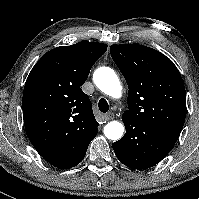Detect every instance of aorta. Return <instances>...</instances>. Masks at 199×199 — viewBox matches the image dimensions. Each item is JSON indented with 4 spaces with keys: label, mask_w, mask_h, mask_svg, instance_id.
<instances>
[{
    "label": "aorta",
    "mask_w": 199,
    "mask_h": 199,
    "mask_svg": "<svg viewBox=\"0 0 199 199\" xmlns=\"http://www.w3.org/2000/svg\"><path fill=\"white\" fill-rule=\"evenodd\" d=\"M94 83L105 94L119 98L122 93V86L118 76L109 67L98 68L94 73ZM124 133V126L118 121H111L104 127V135L110 140H119Z\"/></svg>",
    "instance_id": "1"
}]
</instances>
